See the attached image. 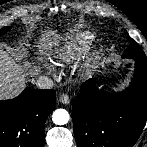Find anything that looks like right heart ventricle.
<instances>
[{
	"label": "right heart ventricle",
	"mask_w": 147,
	"mask_h": 147,
	"mask_svg": "<svg viewBox=\"0 0 147 147\" xmlns=\"http://www.w3.org/2000/svg\"><path fill=\"white\" fill-rule=\"evenodd\" d=\"M95 35L89 31L79 32L56 49L59 63L69 64L82 57L93 45Z\"/></svg>",
	"instance_id": "right-heart-ventricle-1"
}]
</instances>
